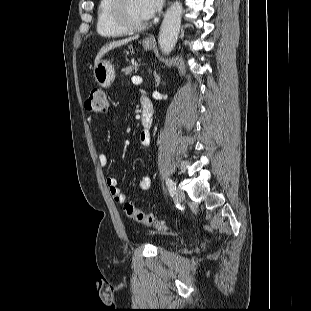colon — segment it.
Returning <instances> with one entry per match:
<instances>
[{
  "mask_svg": "<svg viewBox=\"0 0 311 311\" xmlns=\"http://www.w3.org/2000/svg\"><path fill=\"white\" fill-rule=\"evenodd\" d=\"M85 109L90 114H105L108 110L105 91L101 88H94L85 102ZM124 210L130 219L142 225L154 227L160 232H167L170 230V227L167 224L156 220L152 215L138 209L129 202L124 203Z\"/></svg>",
  "mask_w": 311,
  "mask_h": 311,
  "instance_id": "obj_1",
  "label": "colon"
}]
</instances>
